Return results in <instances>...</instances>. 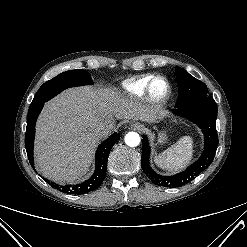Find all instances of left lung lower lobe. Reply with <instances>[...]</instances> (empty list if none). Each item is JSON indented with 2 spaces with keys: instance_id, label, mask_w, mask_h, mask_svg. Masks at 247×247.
Returning <instances> with one entry per match:
<instances>
[{
  "instance_id": "1",
  "label": "left lung lower lobe",
  "mask_w": 247,
  "mask_h": 247,
  "mask_svg": "<svg viewBox=\"0 0 247 247\" xmlns=\"http://www.w3.org/2000/svg\"><path fill=\"white\" fill-rule=\"evenodd\" d=\"M217 112L218 108L213 99L195 101L178 106L177 109L173 110L174 114L197 124L202 129L205 138L204 151L201 157L185 171L173 176H161L151 169L149 165L150 147L147 137L143 136L141 165L144 173L154 184L170 188L183 186L192 181L212 163L218 145Z\"/></svg>"
}]
</instances>
